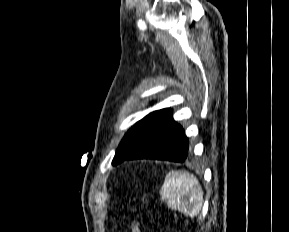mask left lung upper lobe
Segmentation results:
<instances>
[{"instance_id": "left-lung-upper-lobe-1", "label": "left lung upper lobe", "mask_w": 289, "mask_h": 232, "mask_svg": "<svg viewBox=\"0 0 289 232\" xmlns=\"http://www.w3.org/2000/svg\"><path fill=\"white\" fill-rule=\"evenodd\" d=\"M171 121H173V118L172 112L169 109L154 111L145 116L125 134L116 151L112 164L117 165L123 162Z\"/></svg>"}]
</instances>
